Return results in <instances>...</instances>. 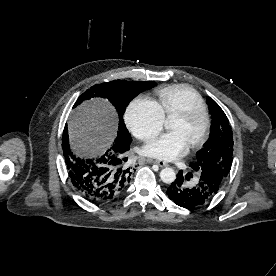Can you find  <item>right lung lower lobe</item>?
Wrapping results in <instances>:
<instances>
[{"label": "right lung lower lobe", "mask_w": 276, "mask_h": 276, "mask_svg": "<svg viewBox=\"0 0 276 276\" xmlns=\"http://www.w3.org/2000/svg\"><path fill=\"white\" fill-rule=\"evenodd\" d=\"M68 175L75 190L92 203L109 201L129 184L133 171L123 164V153L130 143H115L101 156L93 159L76 157L70 150L67 127L62 139Z\"/></svg>", "instance_id": "obj_1"}]
</instances>
